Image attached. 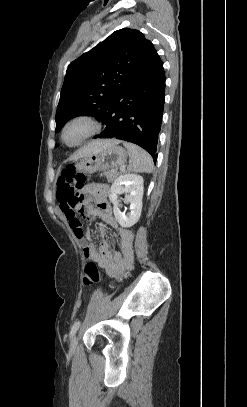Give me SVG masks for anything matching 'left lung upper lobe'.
<instances>
[{"instance_id": "left-lung-upper-lobe-1", "label": "left lung upper lobe", "mask_w": 247, "mask_h": 407, "mask_svg": "<svg viewBox=\"0 0 247 407\" xmlns=\"http://www.w3.org/2000/svg\"><path fill=\"white\" fill-rule=\"evenodd\" d=\"M156 52L153 44L134 29L113 32L69 66L56 111V129L80 115L104 123L113 101Z\"/></svg>"}]
</instances>
